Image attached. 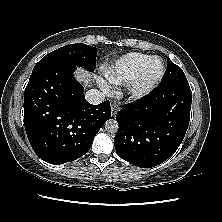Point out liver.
Segmentation results:
<instances>
[{
  "label": "liver",
  "instance_id": "1",
  "mask_svg": "<svg viewBox=\"0 0 222 222\" xmlns=\"http://www.w3.org/2000/svg\"><path fill=\"white\" fill-rule=\"evenodd\" d=\"M75 77L77 78V80L79 81H85V79H87L88 77H90V75L88 74L87 71L83 70L82 68H77L76 72H75ZM86 86H90V83L86 80L85 83Z\"/></svg>",
  "mask_w": 222,
  "mask_h": 222
}]
</instances>
